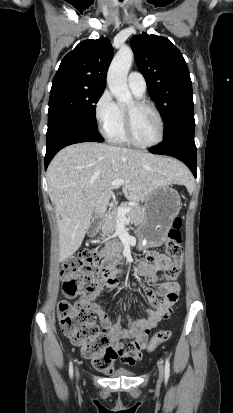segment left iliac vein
<instances>
[{"instance_id":"4c4485c4","label":"left iliac vein","mask_w":233,"mask_h":413,"mask_svg":"<svg viewBox=\"0 0 233 413\" xmlns=\"http://www.w3.org/2000/svg\"><path fill=\"white\" fill-rule=\"evenodd\" d=\"M163 374H164L163 366L161 365L160 368H159V379H160V380H162Z\"/></svg>"}]
</instances>
